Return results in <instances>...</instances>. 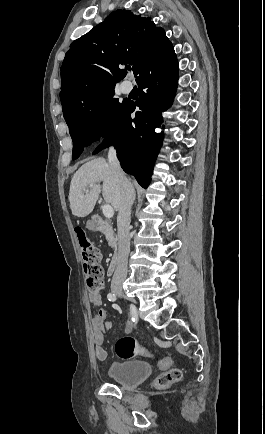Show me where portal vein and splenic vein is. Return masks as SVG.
<instances>
[{"label":"portal vein and splenic vein","mask_w":265,"mask_h":434,"mask_svg":"<svg viewBox=\"0 0 265 434\" xmlns=\"http://www.w3.org/2000/svg\"><path fill=\"white\" fill-rule=\"evenodd\" d=\"M89 188H92V186H89ZM86 192V190H85ZM102 212L105 216V218H113L114 216V210L112 206H109V204H106V206H103Z\"/></svg>","instance_id":"1"}]
</instances>
